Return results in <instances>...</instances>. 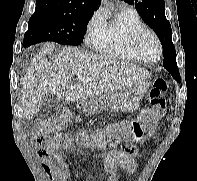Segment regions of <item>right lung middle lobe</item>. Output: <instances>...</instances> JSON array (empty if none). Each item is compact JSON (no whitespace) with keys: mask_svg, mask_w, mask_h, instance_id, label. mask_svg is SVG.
<instances>
[{"mask_svg":"<svg viewBox=\"0 0 197 181\" xmlns=\"http://www.w3.org/2000/svg\"><path fill=\"white\" fill-rule=\"evenodd\" d=\"M92 14L70 15L35 11L28 23L24 45L31 46L44 41H53L64 45H81Z\"/></svg>","mask_w":197,"mask_h":181,"instance_id":"right-lung-middle-lobe-1","label":"right lung middle lobe"}]
</instances>
